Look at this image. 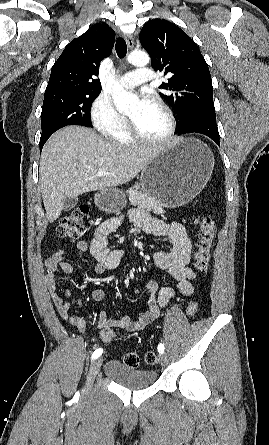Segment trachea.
<instances>
[{"label": "trachea", "mask_w": 269, "mask_h": 445, "mask_svg": "<svg viewBox=\"0 0 269 445\" xmlns=\"http://www.w3.org/2000/svg\"><path fill=\"white\" fill-rule=\"evenodd\" d=\"M116 52L119 58H124L127 52V45L123 38L119 37L116 40Z\"/></svg>", "instance_id": "obj_1"}]
</instances>
